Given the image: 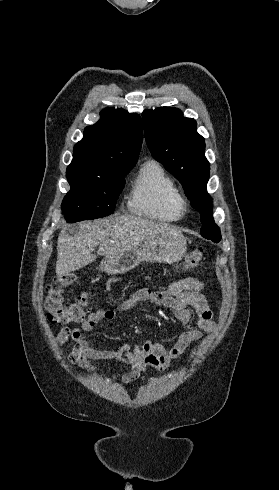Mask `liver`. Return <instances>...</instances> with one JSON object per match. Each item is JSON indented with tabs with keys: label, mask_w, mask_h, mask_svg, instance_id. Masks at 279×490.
I'll use <instances>...</instances> for the list:
<instances>
[{
	"label": "liver",
	"mask_w": 279,
	"mask_h": 490,
	"mask_svg": "<svg viewBox=\"0 0 279 490\" xmlns=\"http://www.w3.org/2000/svg\"><path fill=\"white\" fill-rule=\"evenodd\" d=\"M79 228L80 232L76 236L60 234L58 238L55 272L59 280L70 272L92 264L97 258L92 254L97 246L98 256L111 258L126 250H136L144 242L182 236L179 230L169 224H155L137 216L81 222Z\"/></svg>",
	"instance_id": "obj_1"
}]
</instances>
